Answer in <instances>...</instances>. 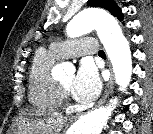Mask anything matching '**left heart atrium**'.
<instances>
[{"label":"left heart atrium","mask_w":153,"mask_h":134,"mask_svg":"<svg viewBox=\"0 0 153 134\" xmlns=\"http://www.w3.org/2000/svg\"><path fill=\"white\" fill-rule=\"evenodd\" d=\"M101 87L102 82L96 69L83 63L74 76L70 91L79 102L89 103L99 95Z\"/></svg>","instance_id":"1"}]
</instances>
